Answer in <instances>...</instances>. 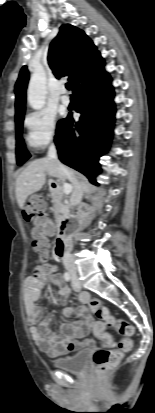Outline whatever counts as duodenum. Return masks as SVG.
<instances>
[{"label": "duodenum", "instance_id": "1", "mask_svg": "<svg viewBox=\"0 0 155 413\" xmlns=\"http://www.w3.org/2000/svg\"><path fill=\"white\" fill-rule=\"evenodd\" d=\"M72 224L67 220H63L57 231L56 241L54 245L55 255L63 259L67 251V237L70 232Z\"/></svg>", "mask_w": 155, "mask_h": 413}]
</instances>
